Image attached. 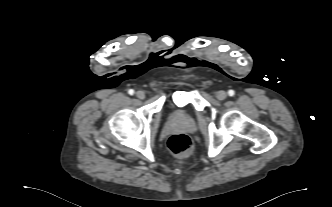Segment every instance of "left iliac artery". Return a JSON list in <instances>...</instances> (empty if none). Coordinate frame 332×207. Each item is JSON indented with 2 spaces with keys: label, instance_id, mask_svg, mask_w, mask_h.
Instances as JSON below:
<instances>
[{
  "label": "left iliac artery",
  "instance_id": "left-iliac-artery-1",
  "mask_svg": "<svg viewBox=\"0 0 332 207\" xmlns=\"http://www.w3.org/2000/svg\"><path fill=\"white\" fill-rule=\"evenodd\" d=\"M228 94H229V96H234L235 92H234V90H229Z\"/></svg>",
  "mask_w": 332,
  "mask_h": 207
}]
</instances>
